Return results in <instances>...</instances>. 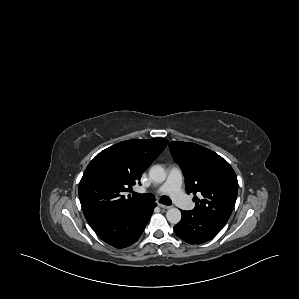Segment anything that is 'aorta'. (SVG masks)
Segmentation results:
<instances>
[{
	"instance_id": "aorta-1",
	"label": "aorta",
	"mask_w": 299,
	"mask_h": 299,
	"mask_svg": "<svg viewBox=\"0 0 299 299\" xmlns=\"http://www.w3.org/2000/svg\"><path fill=\"white\" fill-rule=\"evenodd\" d=\"M149 176L155 183H162L166 179V171L160 165H154L149 170ZM167 220L171 224H177L181 220V212L177 208H170L166 213Z\"/></svg>"
}]
</instances>
